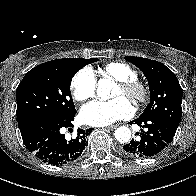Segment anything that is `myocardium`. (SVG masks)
Masks as SVG:
<instances>
[{
  "label": "myocardium",
  "mask_w": 196,
  "mask_h": 196,
  "mask_svg": "<svg viewBox=\"0 0 196 196\" xmlns=\"http://www.w3.org/2000/svg\"><path fill=\"white\" fill-rule=\"evenodd\" d=\"M117 85L126 93L128 99L137 105L145 103L149 97L148 85L137 78L118 81Z\"/></svg>",
  "instance_id": "f54148a6"
}]
</instances>
